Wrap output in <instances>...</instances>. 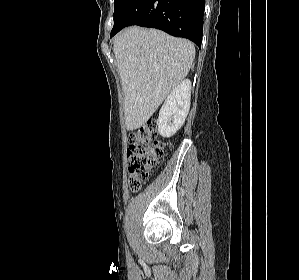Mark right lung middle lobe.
<instances>
[{"label": "right lung middle lobe", "mask_w": 299, "mask_h": 280, "mask_svg": "<svg viewBox=\"0 0 299 280\" xmlns=\"http://www.w3.org/2000/svg\"><path fill=\"white\" fill-rule=\"evenodd\" d=\"M124 0H115L114 2V17L116 16V14L118 13L120 6L122 5Z\"/></svg>", "instance_id": "right-lung-middle-lobe-1"}]
</instances>
